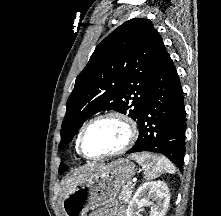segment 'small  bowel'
<instances>
[{
    "label": "small bowel",
    "mask_w": 221,
    "mask_h": 216,
    "mask_svg": "<svg viewBox=\"0 0 221 216\" xmlns=\"http://www.w3.org/2000/svg\"><path fill=\"white\" fill-rule=\"evenodd\" d=\"M112 216H123V213L121 210H118L117 212H115L114 214H112Z\"/></svg>",
    "instance_id": "obj_1"
}]
</instances>
